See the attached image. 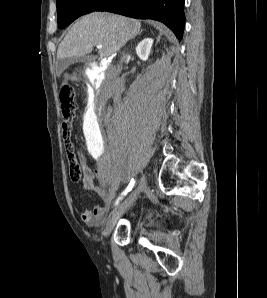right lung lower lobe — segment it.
<instances>
[{
    "label": "right lung lower lobe",
    "instance_id": "right-lung-lower-lobe-1",
    "mask_svg": "<svg viewBox=\"0 0 267 298\" xmlns=\"http://www.w3.org/2000/svg\"><path fill=\"white\" fill-rule=\"evenodd\" d=\"M185 0H104L94 11H108L166 24L181 40L185 25Z\"/></svg>",
    "mask_w": 267,
    "mask_h": 298
}]
</instances>
